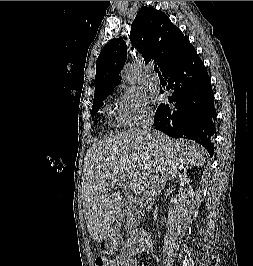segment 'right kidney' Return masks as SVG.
<instances>
[{"mask_svg":"<svg viewBox=\"0 0 253 266\" xmlns=\"http://www.w3.org/2000/svg\"><path fill=\"white\" fill-rule=\"evenodd\" d=\"M140 236L139 244H140V251H144L146 247L151 246V243L149 241V236L147 235L145 230H139L137 233V236Z\"/></svg>","mask_w":253,"mask_h":266,"instance_id":"ca27d5eb","label":"right kidney"}]
</instances>
